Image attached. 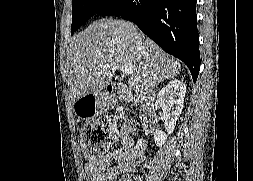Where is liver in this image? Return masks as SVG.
I'll return each mask as SVG.
<instances>
[{
	"instance_id": "liver-1",
	"label": "liver",
	"mask_w": 253,
	"mask_h": 181,
	"mask_svg": "<svg viewBox=\"0 0 253 181\" xmlns=\"http://www.w3.org/2000/svg\"><path fill=\"white\" fill-rule=\"evenodd\" d=\"M71 99L117 85L112 78L121 65L131 64L129 94L150 91L179 74L180 63L129 22L100 19L74 36L68 51Z\"/></svg>"
}]
</instances>
